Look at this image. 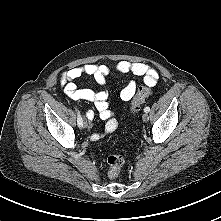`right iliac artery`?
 Instances as JSON below:
<instances>
[{
	"label": "right iliac artery",
	"instance_id": "82829eb1",
	"mask_svg": "<svg viewBox=\"0 0 221 221\" xmlns=\"http://www.w3.org/2000/svg\"><path fill=\"white\" fill-rule=\"evenodd\" d=\"M76 111H77V124H78L79 127H82L83 126V119L80 115V112L77 109H76Z\"/></svg>",
	"mask_w": 221,
	"mask_h": 221
}]
</instances>
